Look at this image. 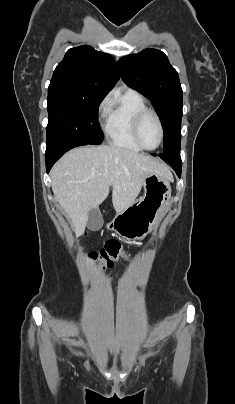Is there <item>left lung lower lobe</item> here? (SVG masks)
<instances>
[{
  "label": "left lung lower lobe",
  "instance_id": "left-lung-lower-lobe-1",
  "mask_svg": "<svg viewBox=\"0 0 235 404\" xmlns=\"http://www.w3.org/2000/svg\"><path fill=\"white\" fill-rule=\"evenodd\" d=\"M156 156V154H153ZM161 159L166 161L171 167L175 170L178 177H181V169H182V161L180 154L179 155H168V154H159L158 155Z\"/></svg>",
  "mask_w": 235,
  "mask_h": 404
}]
</instances>
